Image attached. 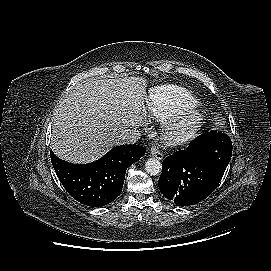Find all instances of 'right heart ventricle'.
Returning <instances> with one entry per match:
<instances>
[{
    "label": "right heart ventricle",
    "instance_id": "1",
    "mask_svg": "<svg viewBox=\"0 0 271 271\" xmlns=\"http://www.w3.org/2000/svg\"><path fill=\"white\" fill-rule=\"evenodd\" d=\"M198 98L177 85H160L150 89L145 105V116L150 121L163 122L167 117L197 107Z\"/></svg>",
    "mask_w": 271,
    "mask_h": 271
}]
</instances>
